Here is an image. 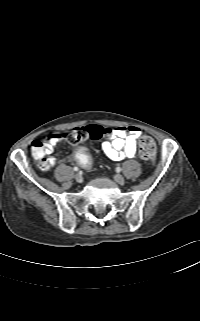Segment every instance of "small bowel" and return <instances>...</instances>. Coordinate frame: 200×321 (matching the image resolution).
Returning a JSON list of instances; mask_svg holds the SVG:
<instances>
[{
	"instance_id": "1",
	"label": "small bowel",
	"mask_w": 200,
	"mask_h": 321,
	"mask_svg": "<svg viewBox=\"0 0 200 321\" xmlns=\"http://www.w3.org/2000/svg\"><path fill=\"white\" fill-rule=\"evenodd\" d=\"M141 130L136 126L116 127L111 130L107 140L102 143L104 154L113 161H121L126 158H134L137 150V140ZM65 132L49 134L45 139V153H52L53 146L58 142H65ZM52 166L55 164L54 157H48Z\"/></svg>"
}]
</instances>
